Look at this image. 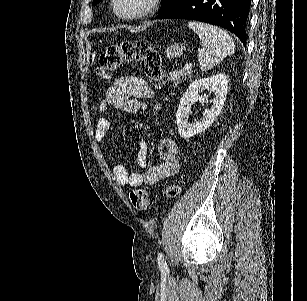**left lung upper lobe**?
<instances>
[{
	"label": "left lung upper lobe",
	"mask_w": 307,
	"mask_h": 301,
	"mask_svg": "<svg viewBox=\"0 0 307 301\" xmlns=\"http://www.w3.org/2000/svg\"><path fill=\"white\" fill-rule=\"evenodd\" d=\"M100 1L101 0H93V5L98 4ZM162 1H163V5L161 7V10L159 11V15L164 13L167 9H169L171 6H173L179 0H162Z\"/></svg>",
	"instance_id": "left-lung-upper-lobe-1"
}]
</instances>
